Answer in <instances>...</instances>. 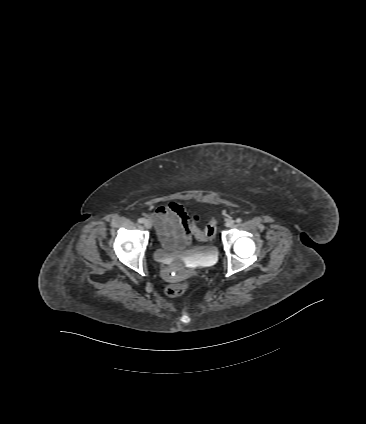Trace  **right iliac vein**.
<instances>
[{
  "mask_svg": "<svg viewBox=\"0 0 366 424\" xmlns=\"http://www.w3.org/2000/svg\"><path fill=\"white\" fill-rule=\"evenodd\" d=\"M143 224H144V226H145L146 228H148V229H150V228L152 227V222H151L150 220H148V219H145V220L143 221Z\"/></svg>",
  "mask_w": 366,
  "mask_h": 424,
  "instance_id": "right-iliac-vein-1",
  "label": "right iliac vein"
}]
</instances>
